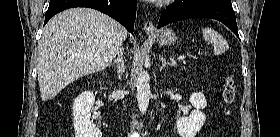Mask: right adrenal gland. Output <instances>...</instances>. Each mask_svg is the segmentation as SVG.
<instances>
[{"instance_id":"right-adrenal-gland-1","label":"right adrenal gland","mask_w":280,"mask_h":137,"mask_svg":"<svg viewBox=\"0 0 280 137\" xmlns=\"http://www.w3.org/2000/svg\"><path fill=\"white\" fill-rule=\"evenodd\" d=\"M113 65L116 67V73L118 78H120L124 71L123 48L119 50L117 58L113 61Z\"/></svg>"}]
</instances>
